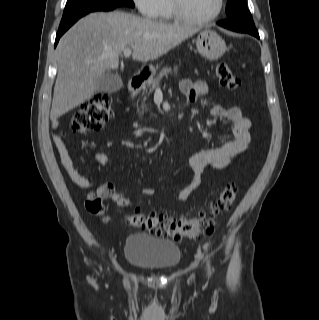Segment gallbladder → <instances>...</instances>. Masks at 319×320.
<instances>
[{"mask_svg":"<svg viewBox=\"0 0 319 320\" xmlns=\"http://www.w3.org/2000/svg\"><path fill=\"white\" fill-rule=\"evenodd\" d=\"M123 86L122 80L118 74L106 72L97 82L95 86L96 92L114 93Z\"/></svg>","mask_w":319,"mask_h":320,"instance_id":"1","label":"gallbladder"}]
</instances>
